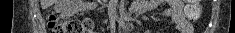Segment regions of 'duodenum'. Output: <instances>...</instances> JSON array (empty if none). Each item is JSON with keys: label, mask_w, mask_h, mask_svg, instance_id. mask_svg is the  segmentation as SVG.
<instances>
[{"label": "duodenum", "mask_w": 235, "mask_h": 33, "mask_svg": "<svg viewBox=\"0 0 235 33\" xmlns=\"http://www.w3.org/2000/svg\"><path fill=\"white\" fill-rule=\"evenodd\" d=\"M128 22H129V18H126L125 20H124V25L126 24H128Z\"/></svg>", "instance_id": "410a0bca"}]
</instances>
